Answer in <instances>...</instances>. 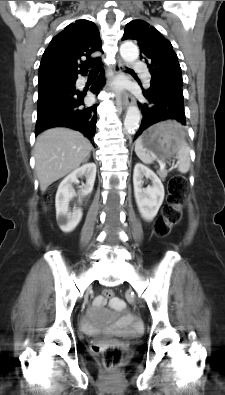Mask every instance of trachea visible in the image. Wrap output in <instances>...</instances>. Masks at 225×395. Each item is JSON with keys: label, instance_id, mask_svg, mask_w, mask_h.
I'll return each instance as SVG.
<instances>
[{"label": "trachea", "instance_id": "obj_1", "mask_svg": "<svg viewBox=\"0 0 225 395\" xmlns=\"http://www.w3.org/2000/svg\"><path fill=\"white\" fill-rule=\"evenodd\" d=\"M90 72H91V73H94V72H97V70L92 69Z\"/></svg>", "mask_w": 225, "mask_h": 395}]
</instances>
